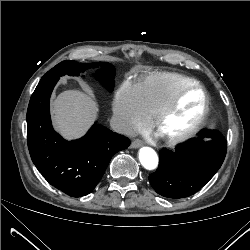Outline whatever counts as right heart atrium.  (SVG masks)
Masks as SVG:
<instances>
[{"instance_id":"d8ad5b80","label":"right heart atrium","mask_w":250,"mask_h":250,"mask_svg":"<svg viewBox=\"0 0 250 250\" xmlns=\"http://www.w3.org/2000/svg\"><path fill=\"white\" fill-rule=\"evenodd\" d=\"M113 112L117 129L123 134H132L143 130L150 122L135 85L129 82H124L118 88Z\"/></svg>"}]
</instances>
